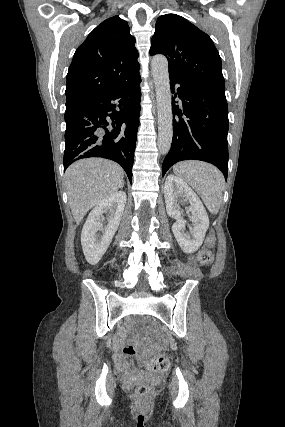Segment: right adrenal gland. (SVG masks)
I'll return each mask as SVG.
<instances>
[{"mask_svg": "<svg viewBox=\"0 0 285 427\" xmlns=\"http://www.w3.org/2000/svg\"><path fill=\"white\" fill-rule=\"evenodd\" d=\"M124 184L121 186V189L123 188Z\"/></svg>", "mask_w": 285, "mask_h": 427, "instance_id": "right-adrenal-gland-1", "label": "right adrenal gland"}]
</instances>
